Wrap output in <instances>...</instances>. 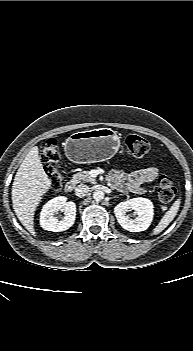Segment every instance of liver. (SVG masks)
I'll return each mask as SVG.
<instances>
[{
	"label": "liver",
	"instance_id": "6515ba94",
	"mask_svg": "<svg viewBox=\"0 0 193 351\" xmlns=\"http://www.w3.org/2000/svg\"><path fill=\"white\" fill-rule=\"evenodd\" d=\"M51 180L43 169L38 147H33L16 172L12 186V203L16 216L32 234L34 214L43 195L51 188Z\"/></svg>",
	"mask_w": 193,
	"mask_h": 351
}]
</instances>
